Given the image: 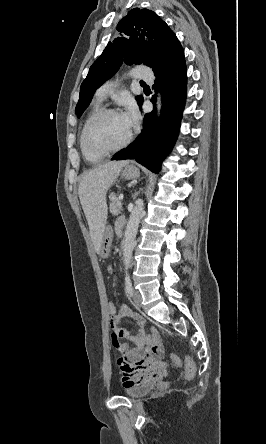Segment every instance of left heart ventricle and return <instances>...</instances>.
Returning <instances> with one entry per match:
<instances>
[{"instance_id": "obj_1", "label": "left heart ventricle", "mask_w": 266, "mask_h": 444, "mask_svg": "<svg viewBox=\"0 0 266 444\" xmlns=\"http://www.w3.org/2000/svg\"><path fill=\"white\" fill-rule=\"evenodd\" d=\"M130 130L121 114L106 115L91 129L89 142L97 150L111 149L122 144Z\"/></svg>"}]
</instances>
